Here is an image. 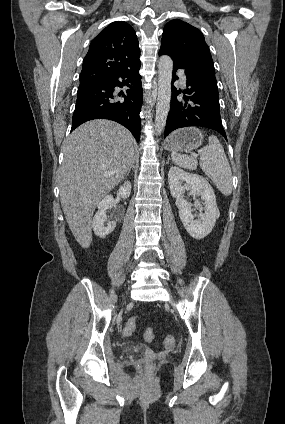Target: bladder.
Masks as SVG:
<instances>
[{"label":"bladder","instance_id":"bladder-1","mask_svg":"<svg viewBox=\"0 0 285 424\" xmlns=\"http://www.w3.org/2000/svg\"><path fill=\"white\" fill-rule=\"evenodd\" d=\"M141 350H143V347H141V346H129V347H127L126 348V351L127 352H137V351H141Z\"/></svg>","mask_w":285,"mask_h":424}]
</instances>
